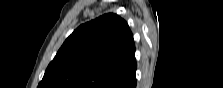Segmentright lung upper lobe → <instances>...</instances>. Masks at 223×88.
I'll return each instance as SVG.
<instances>
[{"mask_svg":"<svg viewBox=\"0 0 223 88\" xmlns=\"http://www.w3.org/2000/svg\"><path fill=\"white\" fill-rule=\"evenodd\" d=\"M135 72L132 32L124 19L108 13L66 39L38 88H131Z\"/></svg>","mask_w":223,"mask_h":88,"instance_id":"1","label":"right lung upper lobe"}]
</instances>
